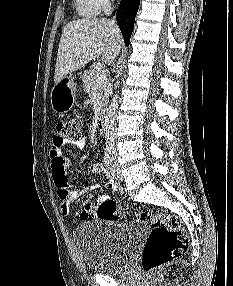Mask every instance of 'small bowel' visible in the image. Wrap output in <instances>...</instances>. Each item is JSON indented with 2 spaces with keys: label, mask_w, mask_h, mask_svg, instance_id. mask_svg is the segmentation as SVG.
<instances>
[{
  "label": "small bowel",
  "mask_w": 233,
  "mask_h": 286,
  "mask_svg": "<svg viewBox=\"0 0 233 286\" xmlns=\"http://www.w3.org/2000/svg\"><path fill=\"white\" fill-rule=\"evenodd\" d=\"M67 144H73L77 148L82 149L86 146V139L81 138L76 142H67L60 140L55 136L50 147V170L53 181L57 188L58 197L61 199V212L65 216L72 214V204L75 200L89 191L99 189L101 186L100 184H93L83 189H73L69 186L66 176V167L69 165V162L63 156V147ZM97 169L106 173L103 166H99ZM103 186L108 190L114 191L117 188V183L107 177L103 181ZM108 199L109 195L105 194L100 200L104 201ZM95 206V203L85 204L80 213V219H92L94 217Z\"/></svg>",
  "instance_id": "obj_1"
}]
</instances>
